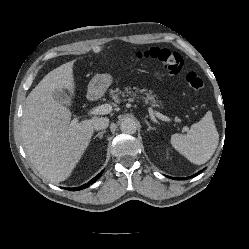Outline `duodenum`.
<instances>
[{
	"mask_svg": "<svg viewBox=\"0 0 249 249\" xmlns=\"http://www.w3.org/2000/svg\"><path fill=\"white\" fill-rule=\"evenodd\" d=\"M96 93L95 92H90L89 94H88V99L89 100H94L95 98H96Z\"/></svg>",
	"mask_w": 249,
	"mask_h": 249,
	"instance_id": "obj_1",
	"label": "duodenum"
}]
</instances>
